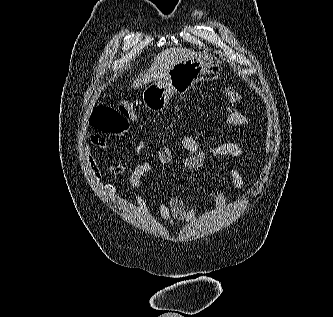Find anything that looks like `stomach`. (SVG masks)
<instances>
[{"label": "stomach", "instance_id": "1", "mask_svg": "<svg viewBox=\"0 0 333 317\" xmlns=\"http://www.w3.org/2000/svg\"><path fill=\"white\" fill-rule=\"evenodd\" d=\"M210 58H207L209 62ZM198 57L188 58L177 63L163 80L145 87L142 95L144 105L154 111H162L173 94H184L205 74L220 70V62L209 63Z\"/></svg>", "mask_w": 333, "mask_h": 317}]
</instances>
